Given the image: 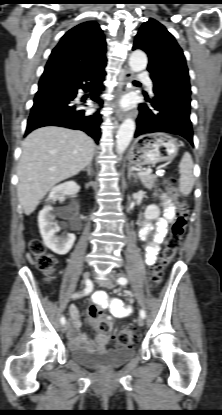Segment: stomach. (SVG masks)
Wrapping results in <instances>:
<instances>
[{
    "label": "stomach",
    "mask_w": 222,
    "mask_h": 415,
    "mask_svg": "<svg viewBox=\"0 0 222 415\" xmlns=\"http://www.w3.org/2000/svg\"><path fill=\"white\" fill-rule=\"evenodd\" d=\"M178 150V141L169 134L149 133L135 139L128 159L130 164L140 167L173 159Z\"/></svg>",
    "instance_id": "stomach-1"
}]
</instances>
